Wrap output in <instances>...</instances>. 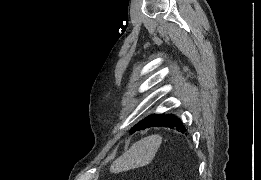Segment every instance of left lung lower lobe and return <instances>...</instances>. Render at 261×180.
<instances>
[{
    "label": "left lung lower lobe",
    "instance_id": "1",
    "mask_svg": "<svg viewBox=\"0 0 261 180\" xmlns=\"http://www.w3.org/2000/svg\"><path fill=\"white\" fill-rule=\"evenodd\" d=\"M149 127H166L171 129H176L178 131L184 132L185 126L179 118L175 115H164L162 114L156 121ZM148 127V128H149Z\"/></svg>",
    "mask_w": 261,
    "mask_h": 180
}]
</instances>
